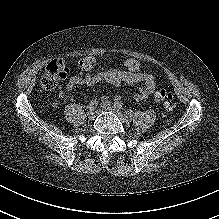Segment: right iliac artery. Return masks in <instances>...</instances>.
<instances>
[{
    "instance_id": "obj_1",
    "label": "right iliac artery",
    "mask_w": 219,
    "mask_h": 219,
    "mask_svg": "<svg viewBox=\"0 0 219 219\" xmlns=\"http://www.w3.org/2000/svg\"><path fill=\"white\" fill-rule=\"evenodd\" d=\"M97 106H98V101L94 99L89 103L88 108L90 110H94Z\"/></svg>"
}]
</instances>
